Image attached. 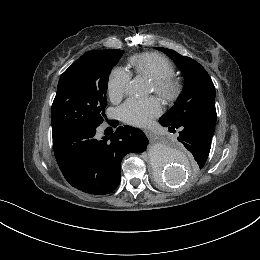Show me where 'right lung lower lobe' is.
I'll list each match as a JSON object with an SVG mask.
<instances>
[{
    "mask_svg": "<svg viewBox=\"0 0 260 260\" xmlns=\"http://www.w3.org/2000/svg\"><path fill=\"white\" fill-rule=\"evenodd\" d=\"M97 127H73L54 132L53 148L62 174L73 187L105 195L120 183L123 157L145 151L148 139L140 129L125 126L98 140L95 137Z\"/></svg>",
    "mask_w": 260,
    "mask_h": 260,
    "instance_id": "1",
    "label": "right lung lower lobe"
}]
</instances>
